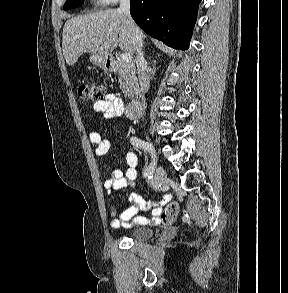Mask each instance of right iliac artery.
<instances>
[{
  "label": "right iliac artery",
  "mask_w": 288,
  "mask_h": 293,
  "mask_svg": "<svg viewBox=\"0 0 288 293\" xmlns=\"http://www.w3.org/2000/svg\"><path fill=\"white\" fill-rule=\"evenodd\" d=\"M132 145L142 148L146 151H148L151 163L144 171L143 176L147 177L148 174H151V170H156L157 169V163H158V157L156 156V150L151 147V145L145 141H142L141 139L137 137H132L130 139Z\"/></svg>",
  "instance_id": "82829eb1"
}]
</instances>
